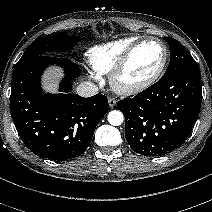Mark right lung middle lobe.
Wrapping results in <instances>:
<instances>
[{
  "instance_id": "right-lung-middle-lobe-1",
  "label": "right lung middle lobe",
  "mask_w": 212,
  "mask_h": 212,
  "mask_svg": "<svg viewBox=\"0 0 212 212\" xmlns=\"http://www.w3.org/2000/svg\"><path fill=\"white\" fill-rule=\"evenodd\" d=\"M79 41V37H69L65 33H52L47 36L39 37L29 45L16 65L53 50L67 51Z\"/></svg>"
}]
</instances>
